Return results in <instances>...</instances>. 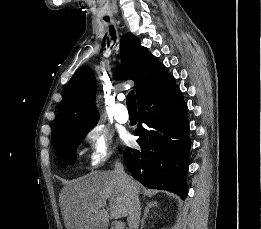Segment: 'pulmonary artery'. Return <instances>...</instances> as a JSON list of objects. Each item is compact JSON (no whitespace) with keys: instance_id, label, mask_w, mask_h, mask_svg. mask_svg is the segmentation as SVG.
Wrapping results in <instances>:
<instances>
[{"instance_id":"e3ab8cb5","label":"pulmonary artery","mask_w":261,"mask_h":229,"mask_svg":"<svg viewBox=\"0 0 261 229\" xmlns=\"http://www.w3.org/2000/svg\"><path fill=\"white\" fill-rule=\"evenodd\" d=\"M119 101H123L124 96H118ZM115 119L120 123H125L129 120V113L122 103H117L114 112Z\"/></svg>"}]
</instances>
